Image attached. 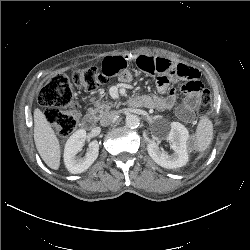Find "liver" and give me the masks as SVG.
I'll return each instance as SVG.
<instances>
[{"mask_svg":"<svg viewBox=\"0 0 250 250\" xmlns=\"http://www.w3.org/2000/svg\"><path fill=\"white\" fill-rule=\"evenodd\" d=\"M34 142L39 155L47 166L57 170L61 157L59 140L39 108L34 111Z\"/></svg>","mask_w":250,"mask_h":250,"instance_id":"1","label":"liver"}]
</instances>
